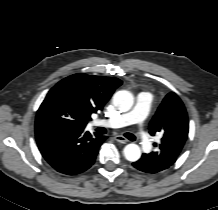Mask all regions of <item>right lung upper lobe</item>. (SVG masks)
I'll return each instance as SVG.
<instances>
[{"label":"right lung upper lobe","mask_w":218,"mask_h":210,"mask_svg":"<svg viewBox=\"0 0 218 210\" xmlns=\"http://www.w3.org/2000/svg\"><path fill=\"white\" fill-rule=\"evenodd\" d=\"M122 81L113 77L74 74L58 82L50 91L67 98L78 110L83 122L101 110Z\"/></svg>","instance_id":"right-lung-upper-lobe-1"}]
</instances>
